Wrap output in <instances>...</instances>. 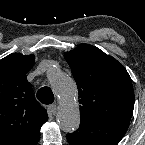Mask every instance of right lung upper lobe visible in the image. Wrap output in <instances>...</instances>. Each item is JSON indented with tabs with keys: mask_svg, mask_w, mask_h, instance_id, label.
<instances>
[{
	"mask_svg": "<svg viewBox=\"0 0 145 145\" xmlns=\"http://www.w3.org/2000/svg\"><path fill=\"white\" fill-rule=\"evenodd\" d=\"M33 55L13 53L0 60V145H23L40 135L47 112L33 96L26 74Z\"/></svg>",
	"mask_w": 145,
	"mask_h": 145,
	"instance_id": "obj_1",
	"label": "right lung upper lobe"
}]
</instances>
